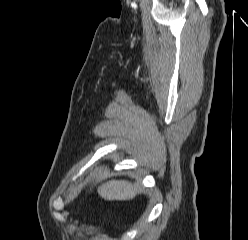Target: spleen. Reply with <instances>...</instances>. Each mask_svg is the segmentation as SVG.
Returning a JSON list of instances; mask_svg holds the SVG:
<instances>
[{"label": "spleen", "mask_w": 248, "mask_h": 240, "mask_svg": "<svg viewBox=\"0 0 248 240\" xmlns=\"http://www.w3.org/2000/svg\"><path fill=\"white\" fill-rule=\"evenodd\" d=\"M138 191V186L129 181L112 180L102 185L99 194L106 200H130Z\"/></svg>", "instance_id": "obj_1"}]
</instances>
